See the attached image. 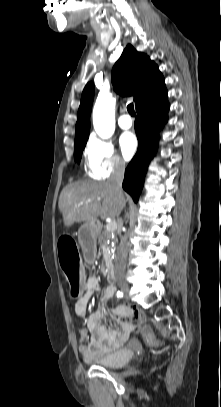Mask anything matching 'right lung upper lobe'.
Masks as SVG:
<instances>
[{"label":"right lung upper lobe","mask_w":221,"mask_h":407,"mask_svg":"<svg viewBox=\"0 0 221 407\" xmlns=\"http://www.w3.org/2000/svg\"><path fill=\"white\" fill-rule=\"evenodd\" d=\"M114 90L123 96H134L136 108L153 98L164 87V78L158 66L145 54L127 45L112 69ZM94 85L88 83L82 93L78 110L75 144L87 142Z\"/></svg>","instance_id":"cb5924a9"}]
</instances>
